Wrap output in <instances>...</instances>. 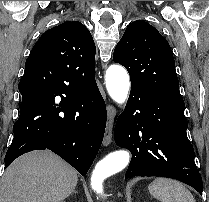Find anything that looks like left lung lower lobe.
<instances>
[{"label": "left lung lower lobe", "instance_id": "obj_1", "mask_svg": "<svg viewBox=\"0 0 209 202\" xmlns=\"http://www.w3.org/2000/svg\"><path fill=\"white\" fill-rule=\"evenodd\" d=\"M183 99H172L131 86L125 111L118 117L114 138L132 159L125 179L161 176L177 179L201 195L202 178L187 138Z\"/></svg>", "mask_w": 209, "mask_h": 202}]
</instances>
